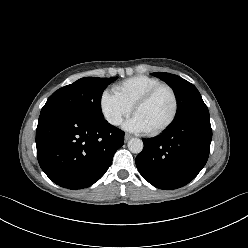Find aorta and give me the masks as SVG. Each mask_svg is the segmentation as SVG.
Returning a JSON list of instances; mask_svg holds the SVG:
<instances>
[{"mask_svg":"<svg viewBox=\"0 0 248 248\" xmlns=\"http://www.w3.org/2000/svg\"><path fill=\"white\" fill-rule=\"evenodd\" d=\"M128 149L135 154L140 153L143 150V141L139 138H132L128 141Z\"/></svg>","mask_w":248,"mask_h":248,"instance_id":"762f6f07","label":"aorta"}]
</instances>
